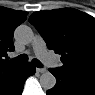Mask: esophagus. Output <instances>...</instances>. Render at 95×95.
<instances>
[{"instance_id":"obj_1","label":"esophagus","mask_w":95,"mask_h":95,"mask_svg":"<svg viewBox=\"0 0 95 95\" xmlns=\"http://www.w3.org/2000/svg\"><path fill=\"white\" fill-rule=\"evenodd\" d=\"M36 71L39 73H44L46 72V68H37Z\"/></svg>"}]
</instances>
